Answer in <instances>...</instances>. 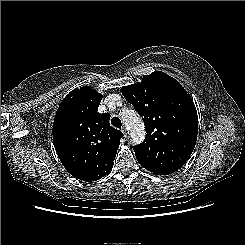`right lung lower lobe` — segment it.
I'll list each match as a JSON object with an SVG mask.
<instances>
[{"label": "right lung lower lobe", "instance_id": "obj_1", "mask_svg": "<svg viewBox=\"0 0 245 245\" xmlns=\"http://www.w3.org/2000/svg\"><path fill=\"white\" fill-rule=\"evenodd\" d=\"M72 176H74V177L77 178V179H80L78 175H72Z\"/></svg>", "mask_w": 245, "mask_h": 245}]
</instances>
